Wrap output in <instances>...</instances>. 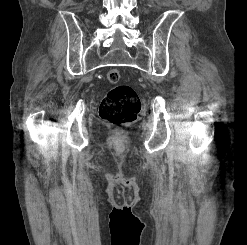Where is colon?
Instances as JSON below:
<instances>
[{
  "mask_svg": "<svg viewBox=\"0 0 247 245\" xmlns=\"http://www.w3.org/2000/svg\"><path fill=\"white\" fill-rule=\"evenodd\" d=\"M107 80L115 86L109 90L101 102L99 109L101 119L117 126L132 123L141 109L138 94L131 86L118 84L121 80L118 69H110Z\"/></svg>",
  "mask_w": 247,
  "mask_h": 245,
  "instance_id": "5ec220e1",
  "label": "colon"
}]
</instances>
